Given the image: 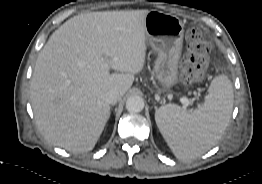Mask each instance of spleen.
<instances>
[{
	"mask_svg": "<svg viewBox=\"0 0 262 184\" xmlns=\"http://www.w3.org/2000/svg\"><path fill=\"white\" fill-rule=\"evenodd\" d=\"M234 95L226 75L216 76L204 102L189 112L176 104H167L155 112V120L174 155L191 160L218 143L231 117Z\"/></svg>",
	"mask_w": 262,
	"mask_h": 184,
	"instance_id": "spleen-1",
	"label": "spleen"
}]
</instances>
